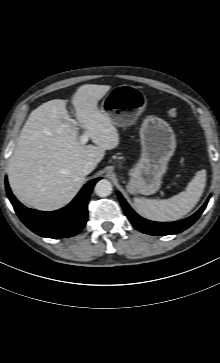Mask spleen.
Listing matches in <instances>:
<instances>
[{
    "label": "spleen",
    "instance_id": "3e777b00",
    "mask_svg": "<svg viewBox=\"0 0 220 363\" xmlns=\"http://www.w3.org/2000/svg\"><path fill=\"white\" fill-rule=\"evenodd\" d=\"M206 182L205 170L198 171L186 189L167 200H148L135 197L138 213L157 222H172L183 218L200 200Z\"/></svg>",
    "mask_w": 220,
    "mask_h": 363
}]
</instances>
